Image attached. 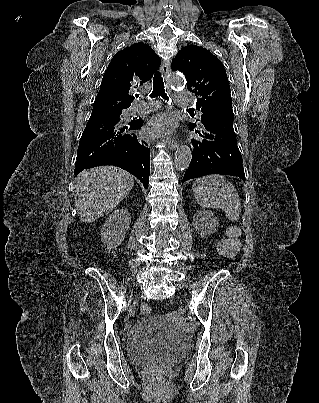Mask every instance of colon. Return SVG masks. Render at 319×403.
<instances>
[{"label": "colon", "mask_w": 319, "mask_h": 403, "mask_svg": "<svg viewBox=\"0 0 319 403\" xmlns=\"http://www.w3.org/2000/svg\"><path fill=\"white\" fill-rule=\"evenodd\" d=\"M218 249H219V252L225 258L233 257L238 252V249H239V240L237 238V231L233 230L231 232V235L228 238L222 240L219 243ZM140 312L142 315L146 316V315L151 314L152 309L148 304L143 303L140 307ZM156 377L161 381V380H163L164 376L162 373H157Z\"/></svg>", "instance_id": "obj_1"}]
</instances>
